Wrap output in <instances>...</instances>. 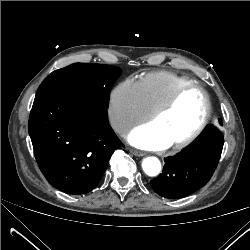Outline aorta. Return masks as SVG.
<instances>
[{
    "instance_id": "aorta-1",
    "label": "aorta",
    "mask_w": 250,
    "mask_h": 250,
    "mask_svg": "<svg viewBox=\"0 0 250 250\" xmlns=\"http://www.w3.org/2000/svg\"><path fill=\"white\" fill-rule=\"evenodd\" d=\"M142 168L148 176H157L161 171V163L156 157H147L142 162Z\"/></svg>"
}]
</instances>
